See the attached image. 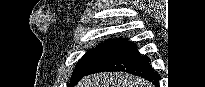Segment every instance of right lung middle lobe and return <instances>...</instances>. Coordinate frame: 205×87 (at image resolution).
<instances>
[{"instance_id": "dd1d6c3e", "label": "right lung middle lobe", "mask_w": 205, "mask_h": 87, "mask_svg": "<svg viewBox=\"0 0 205 87\" xmlns=\"http://www.w3.org/2000/svg\"><path fill=\"white\" fill-rule=\"evenodd\" d=\"M123 43H125V40L121 38L116 40L108 39L104 43H100L96 48L89 50L75 66L74 73L72 74V79L68 87L75 86L94 64H96L99 60L111 53Z\"/></svg>"}]
</instances>
